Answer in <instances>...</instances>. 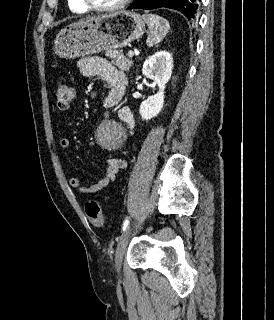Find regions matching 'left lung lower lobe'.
<instances>
[{"label": "left lung lower lobe", "instance_id": "left-lung-lower-lobe-1", "mask_svg": "<svg viewBox=\"0 0 274 320\" xmlns=\"http://www.w3.org/2000/svg\"><path fill=\"white\" fill-rule=\"evenodd\" d=\"M200 0H135L128 9L170 8L183 13L190 22L197 18Z\"/></svg>", "mask_w": 274, "mask_h": 320}]
</instances>
